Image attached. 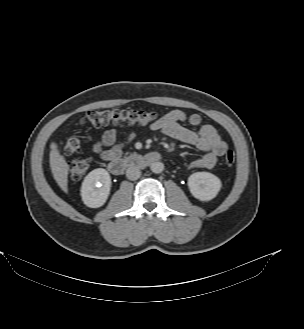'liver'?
<instances>
[{"mask_svg":"<svg viewBox=\"0 0 304 329\" xmlns=\"http://www.w3.org/2000/svg\"><path fill=\"white\" fill-rule=\"evenodd\" d=\"M49 163L53 177L58 186L65 192H68V173L69 165L64 156L60 154L58 145L55 142L50 144Z\"/></svg>","mask_w":304,"mask_h":329,"instance_id":"6515ba94","label":"liver"}]
</instances>
